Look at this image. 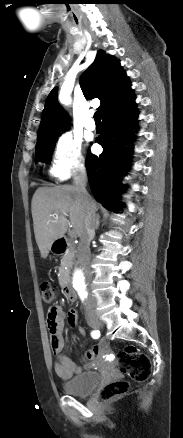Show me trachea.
Listing matches in <instances>:
<instances>
[{
	"instance_id": "3493384b",
	"label": "trachea",
	"mask_w": 183,
	"mask_h": 438,
	"mask_svg": "<svg viewBox=\"0 0 183 438\" xmlns=\"http://www.w3.org/2000/svg\"><path fill=\"white\" fill-rule=\"evenodd\" d=\"M94 120L95 121H101L100 112L96 111L94 114Z\"/></svg>"
}]
</instances>
